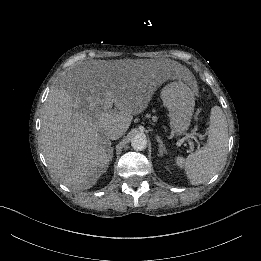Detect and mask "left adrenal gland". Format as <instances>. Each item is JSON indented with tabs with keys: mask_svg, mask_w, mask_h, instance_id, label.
Listing matches in <instances>:
<instances>
[{
	"mask_svg": "<svg viewBox=\"0 0 261 261\" xmlns=\"http://www.w3.org/2000/svg\"><path fill=\"white\" fill-rule=\"evenodd\" d=\"M156 140L159 143V155L163 156V153H167L166 148L163 144V141L160 139V136L156 135Z\"/></svg>",
	"mask_w": 261,
	"mask_h": 261,
	"instance_id": "obj_1",
	"label": "left adrenal gland"
}]
</instances>
